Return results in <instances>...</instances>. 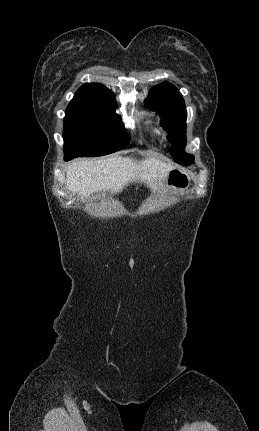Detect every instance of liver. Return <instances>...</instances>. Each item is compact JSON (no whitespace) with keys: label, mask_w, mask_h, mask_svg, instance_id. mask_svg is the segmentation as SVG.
Here are the masks:
<instances>
[{"label":"liver","mask_w":259,"mask_h":431,"mask_svg":"<svg viewBox=\"0 0 259 431\" xmlns=\"http://www.w3.org/2000/svg\"><path fill=\"white\" fill-rule=\"evenodd\" d=\"M172 169L174 166L153 157L139 161L122 156L76 160L67 166L66 187L81 199L105 190L118 193L129 183L137 181L157 191L163 187Z\"/></svg>","instance_id":"liver-1"}]
</instances>
